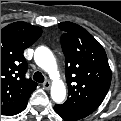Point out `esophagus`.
Returning <instances> with one entry per match:
<instances>
[{"label": "esophagus", "mask_w": 121, "mask_h": 121, "mask_svg": "<svg viewBox=\"0 0 121 121\" xmlns=\"http://www.w3.org/2000/svg\"><path fill=\"white\" fill-rule=\"evenodd\" d=\"M43 87H44V89L48 90V89H50V87H51V83L47 80V81H45V82L43 83Z\"/></svg>", "instance_id": "1"}]
</instances>
